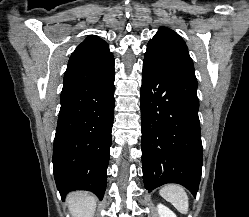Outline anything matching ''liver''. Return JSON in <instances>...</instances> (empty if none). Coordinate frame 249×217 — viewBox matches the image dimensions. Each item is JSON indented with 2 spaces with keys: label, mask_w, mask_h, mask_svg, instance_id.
Masks as SVG:
<instances>
[{
  "label": "liver",
  "mask_w": 249,
  "mask_h": 217,
  "mask_svg": "<svg viewBox=\"0 0 249 217\" xmlns=\"http://www.w3.org/2000/svg\"><path fill=\"white\" fill-rule=\"evenodd\" d=\"M96 201V197L88 192H74L67 198L72 217H93Z\"/></svg>",
  "instance_id": "obj_1"
}]
</instances>
